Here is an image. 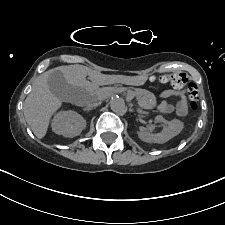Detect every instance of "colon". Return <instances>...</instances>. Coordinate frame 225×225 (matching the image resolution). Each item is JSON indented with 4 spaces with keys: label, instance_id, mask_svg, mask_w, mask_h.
I'll return each mask as SVG.
<instances>
[{
    "label": "colon",
    "instance_id": "obj_1",
    "mask_svg": "<svg viewBox=\"0 0 225 225\" xmlns=\"http://www.w3.org/2000/svg\"><path fill=\"white\" fill-rule=\"evenodd\" d=\"M152 81L160 83H170L177 89H187L190 108L193 111L199 108V92L197 86L190 83L187 76L183 73H176L172 75L151 76Z\"/></svg>",
    "mask_w": 225,
    "mask_h": 225
}]
</instances>
